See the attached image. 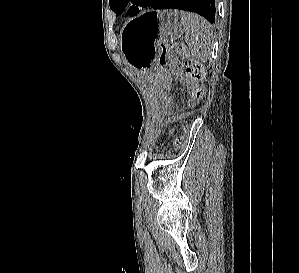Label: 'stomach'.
I'll use <instances>...</instances> for the list:
<instances>
[{
  "label": "stomach",
  "instance_id": "obj_1",
  "mask_svg": "<svg viewBox=\"0 0 299 273\" xmlns=\"http://www.w3.org/2000/svg\"><path fill=\"white\" fill-rule=\"evenodd\" d=\"M177 10L150 11L127 23L120 35V52L125 62L139 74H153L161 85L167 69H158L161 41H174L184 33Z\"/></svg>",
  "mask_w": 299,
  "mask_h": 273
}]
</instances>
